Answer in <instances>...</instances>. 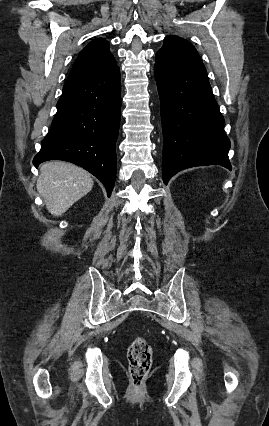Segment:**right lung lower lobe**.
<instances>
[{
	"label": "right lung lower lobe",
	"mask_w": 269,
	"mask_h": 426,
	"mask_svg": "<svg viewBox=\"0 0 269 426\" xmlns=\"http://www.w3.org/2000/svg\"><path fill=\"white\" fill-rule=\"evenodd\" d=\"M120 69L69 80L57 103L51 129L33 164L64 160L96 176L111 195L116 178L115 145L120 125Z\"/></svg>",
	"instance_id": "98d812e1"
}]
</instances>
